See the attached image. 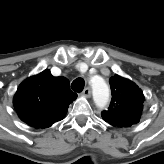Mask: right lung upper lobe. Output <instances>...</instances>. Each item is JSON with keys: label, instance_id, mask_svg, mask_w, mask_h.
<instances>
[{"label": "right lung upper lobe", "instance_id": "right-lung-upper-lobe-1", "mask_svg": "<svg viewBox=\"0 0 164 164\" xmlns=\"http://www.w3.org/2000/svg\"><path fill=\"white\" fill-rule=\"evenodd\" d=\"M76 97L66 78L54 77L44 70L20 84L13 104L21 120L36 128H46L63 118Z\"/></svg>", "mask_w": 164, "mask_h": 164}]
</instances>
